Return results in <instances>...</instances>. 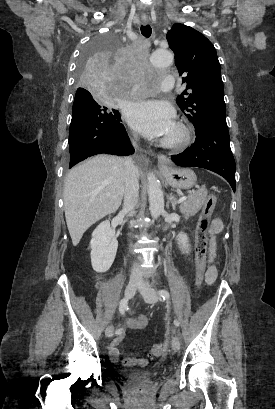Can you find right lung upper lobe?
Segmentation results:
<instances>
[{
    "label": "right lung upper lobe",
    "instance_id": "cb5924a9",
    "mask_svg": "<svg viewBox=\"0 0 275 409\" xmlns=\"http://www.w3.org/2000/svg\"><path fill=\"white\" fill-rule=\"evenodd\" d=\"M77 91H85V90H78V89H77Z\"/></svg>",
    "mask_w": 275,
    "mask_h": 409
}]
</instances>
